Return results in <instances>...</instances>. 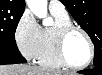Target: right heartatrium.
Instances as JSON below:
<instances>
[{
	"label": "right heart atrium",
	"mask_w": 102,
	"mask_h": 75,
	"mask_svg": "<svg viewBox=\"0 0 102 75\" xmlns=\"http://www.w3.org/2000/svg\"><path fill=\"white\" fill-rule=\"evenodd\" d=\"M41 27L30 11H25L19 18L14 38L17 47L28 60H35L40 50Z\"/></svg>",
	"instance_id": "d8ad5b80"
}]
</instances>
